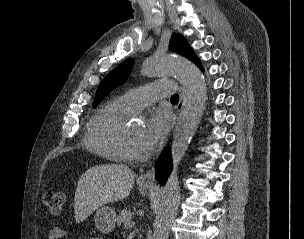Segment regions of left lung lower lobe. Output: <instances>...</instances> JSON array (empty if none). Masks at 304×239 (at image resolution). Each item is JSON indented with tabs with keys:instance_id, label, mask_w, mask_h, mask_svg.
<instances>
[{
	"instance_id": "1",
	"label": "left lung lower lobe",
	"mask_w": 304,
	"mask_h": 239,
	"mask_svg": "<svg viewBox=\"0 0 304 239\" xmlns=\"http://www.w3.org/2000/svg\"><path fill=\"white\" fill-rule=\"evenodd\" d=\"M197 66L203 71L201 62H199ZM171 169V151L170 148H166L161 153L155 165V178L161 185H165Z\"/></svg>"
}]
</instances>
